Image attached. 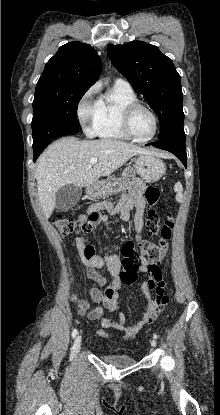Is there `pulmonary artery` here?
<instances>
[{
  "label": "pulmonary artery",
  "mask_w": 220,
  "mask_h": 415,
  "mask_svg": "<svg viewBox=\"0 0 220 415\" xmlns=\"http://www.w3.org/2000/svg\"><path fill=\"white\" fill-rule=\"evenodd\" d=\"M114 87H117L122 90H131L130 84L126 80L121 78L115 80Z\"/></svg>",
  "instance_id": "e3ab8cb5"
}]
</instances>
